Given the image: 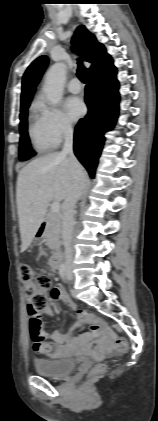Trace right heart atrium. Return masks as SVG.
I'll return each instance as SVG.
<instances>
[{
    "instance_id": "d8ad5b80",
    "label": "right heart atrium",
    "mask_w": 158,
    "mask_h": 421,
    "mask_svg": "<svg viewBox=\"0 0 158 421\" xmlns=\"http://www.w3.org/2000/svg\"><path fill=\"white\" fill-rule=\"evenodd\" d=\"M46 131L51 140L58 144L72 134L73 125L69 118L58 108L42 106Z\"/></svg>"
}]
</instances>
